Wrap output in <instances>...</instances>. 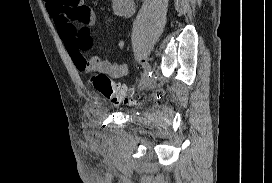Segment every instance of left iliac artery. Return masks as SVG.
I'll list each match as a JSON object with an SVG mask.
<instances>
[{"label":"left iliac artery","instance_id":"obj_1","mask_svg":"<svg viewBox=\"0 0 272 183\" xmlns=\"http://www.w3.org/2000/svg\"><path fill=\"white\" fill-rule=\"evenodd\" d=\"M142 68L144 69L143 76H142V79H141V82L143 83V81L146 78L151 77L152 71H151V66L147 62L142 63Z\"/></svg>","mask_w":272,"mask_h":183}]
</instances>
